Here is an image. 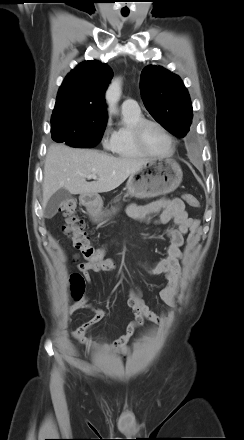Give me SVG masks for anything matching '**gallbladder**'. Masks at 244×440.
Returning a JSON list of instances; mask_svg holds the SVG:
<instances>
[{
    "instance_id": "bac80fb5",
    "label": "gallbladder",
    "mask_w": 244,
    "mask_h": 440,
    "mask_svg": "<svg viewBox=\"0 0 244 440\" xmlns=\"http://www.w3.org/2000/svg\"><path fill=\"white\" fill-rule=\"evenodd\" d=\"M70 199L71 193L68 190L65 188L59 189L48 200L45 207V215L48 217L54 216L57 213L58 208Z\"/></svg>"
}]
</instances>
